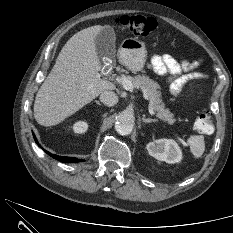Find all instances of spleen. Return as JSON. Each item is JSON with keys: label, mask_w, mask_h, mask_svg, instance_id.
Masks as SVG:
<instances>
[{"label": "spleen", "mask_w": 233, "mask_h": 233, "mask_svg": "<svg viewBox=\"0 0 233 233\" xmlns=\"http://www.w3.org/2000/svg\"><path fill=\"white\" fill-rule=\"evenodd\" d=\"M187 144L190 146V152L194 157L200 158L205 151V142L203 135H191Z\"/></svg>", "instance_id": "1"}]
</instances>
